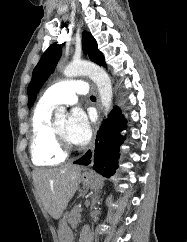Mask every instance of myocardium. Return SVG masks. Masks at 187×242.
Returning a JSON list of instances; mask_svg holds the SVG:
<instances>
[{
	"label": "myocardium",
	"instance_id": "myocardium-1",
	"mask_svg": "<svg viewBox=\"0 0 187 242\" xmlns=\"http://www.w3.org/2000/svg\"><path fill=\"white\" fill-rule=\"evenodd\" d=\"M51 130H52V135L54 139V143L57 147V149L62 152L63 154L67 155L72 151V146L68 144L63 137L58 133V131L55 128V124L51 123Z\"/></svg>",
	"mask_w": 187,
	"mask_h": 242
}]
</instances>
